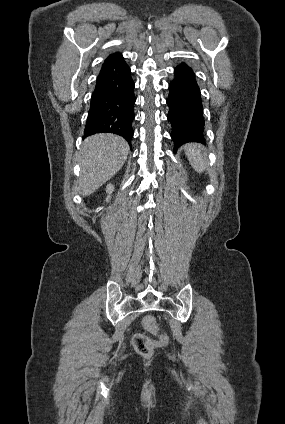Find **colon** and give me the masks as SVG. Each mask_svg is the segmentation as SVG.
I'll list each match as a JSON object with an SVG mask.
<instances>
[{
    "label": "colon",
    "instance_id": "5ec220e1",
    "mask_svg": "<svg viewBox=\"0 0 285 424\" xmlns=\"http://www.w3.org/2000/svg\"><path fill=\"white\" fill-rule=\"evenodd\" d=\"M142 323L147 330L152 333L159 334V328L153 316H146ZM159 339L163 340V337L159 335ZM132 342L134 349L143 356H150L157 345L155 340L143 333H136L133 336Z\"/></svg>",
    "mask_w": 285,
    "mask_h": 424
}]
</instances>
